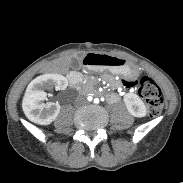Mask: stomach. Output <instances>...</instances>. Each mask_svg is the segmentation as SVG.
<instances>
[{
  "instance_id": "1",
  "label": "stomach",
  "mask_w": 183,
  "mask_h": 183,
  "mask_svg": "<svg viewBox=\"0 0 183 183\" xmlns=\"http://www.w3.org/2000/svg\"><path fill=\"white\" fill-rule=\"evenodd\" d=\"M102 62L100 64V70H109L113 74H120L126 77H135L138 74V69L130 65V63L121 57L101 54Z\"/></svg>"
}]
</instances>
